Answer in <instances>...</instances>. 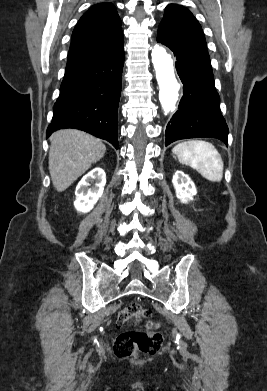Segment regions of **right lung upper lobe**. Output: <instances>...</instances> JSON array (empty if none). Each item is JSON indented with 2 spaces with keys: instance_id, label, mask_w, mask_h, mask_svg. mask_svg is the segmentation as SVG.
I'll list each match as a JSON object with an SVG mask.
<instances>
[{
  "instance_id": "right-lung-upper-lobe-1",
  "label": "right lung upper lobe",
  "mask_w": 267,
  "mask_h": 391,
  "mask_svg": "<svg viewBox=\"0 0 267 391\" xmlns=\"http://www.w3.org/2000/svg\"><path fill=\"white\" fill-rule=\"evenodd\" d=\"M124 45L121 20L111 3L93 5L74 28L67 66Z\"/></svg>"
}]
</instances>
